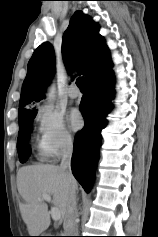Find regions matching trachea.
<instances>
[{
	"mask_svg": "<svg viewBox=\"0 0 158 237\" xmlns=\"http://www.w3.org/2000/svg\"><path fill=\"white\" fill-rule=\"evenodd\" d=\"M76 85L81 91H85V78L84 77H79L76 80Z\"/></svg>",
	"mask_w": 158,
	"mask_h": 237,
	"instance_id": "obj_1",
	"label": "trachea"
}]
</instances>
